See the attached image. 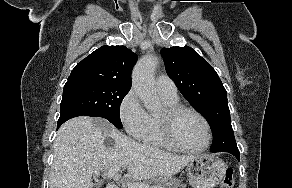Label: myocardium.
Returning <instances> with one entry per match:
<instances>
[{
  "label": "myocardium",
  "instance_id": "obj_1",
  "mask_svg": "<svg viewBox=\"0 0 292 188\" xmlns=\"http://www.w3.org/2000/svg\"><path fill=\"white\" fill-rule=\"evenodd\" d=\"M191 113L197 116L204 124L206 129V142L203 146L199 148H188L182 145L179 140L177 139L175 132H174V125L176 120L183 114ZM158 125L161 132L162 137L164 140L173 148L187 153H201L206 151L212 141V129L209 121L207 118L198 110L183 106V105H174V106H167L165 110L158 115Z\"/></svg>",
  "mask_w": 292,
  "mask_h": 188
}]
</instances>
